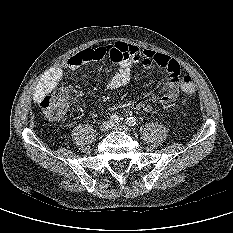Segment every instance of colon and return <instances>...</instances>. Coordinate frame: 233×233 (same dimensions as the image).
Here are the masks:
<instances>
[{"label":"colon","instance_id":"1","mask_svg":"<svg viewBox=\"0 0 233 233\" xmlns=\"http://www.w3.org/2000/svg\"><path fill=\"white\" fill-rule=\"evenodd\" d=\"M181 90L186 94H192L195 90L194 83L190 75L184 74L180 80ZM69 98V89L61 88L54 93L45 94L39 104L45 114L50 118H58L65 110Z\"/></svg>","mask_w":233,"mask_h":233}]
</instances>
